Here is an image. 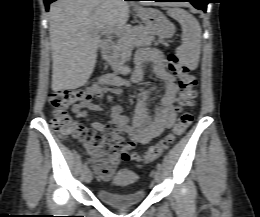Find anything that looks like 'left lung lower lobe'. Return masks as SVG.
<instances>
[{"label": "left lung lower lobe", "instance_id": "obj_1", "mask_svg": "<svg viewBox=\"0 0 260 217\" xmlns=\"http://www.w3.org/2000/svg\"><path fill=\"white\" fill-rule=\"evenodd\" d=\"M156 2H190L195 8L206 11L208 0H152Z\"/></svg>", "mask_w": 260, "mask_h": 217}]
</instances>
